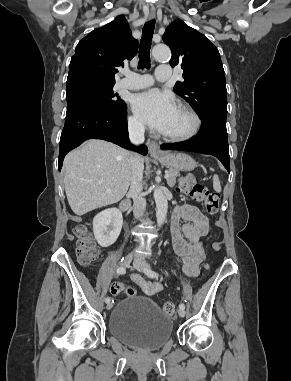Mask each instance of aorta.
<instances>
[{
    "mask_svg": "<svg viewBox=\"0 0 291 381\" xmlns=\"http://www.w3.org/2000/svg\"><path fill=\"white\" fill-rule=\"evenodd\" d=\"M152 55L157 61H167L171 57V51L168 46L159 44L154 46ZM153 195L156 203L157 223L158 226H161L167 216L168 202L163 192L159 188H155Z\"/></svg>",
    "mask_w": 291,
    "mask_h": 381,
    "instance_id": "762f6f07",
    "label": "aorta"
}]
</instances>
